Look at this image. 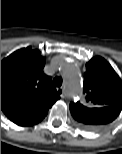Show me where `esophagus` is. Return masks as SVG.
<instances>
[{
    "label": "esophagus",
    "instance_id": "esophagus-1",
    "mask_svg": "<svg viewBox=\"0 0 122 154\" xmlns=\"http://www.w3.org/2000/svg\"><path fill=\"white\" fill-rule=\"evenodd\" d=\"M58 94L60 95L61 98L65 97V90L63 87H60L57 89Z\"/></svg>",
    "mask_w": 122,
    "mask_h": 154
}]
</instances>
